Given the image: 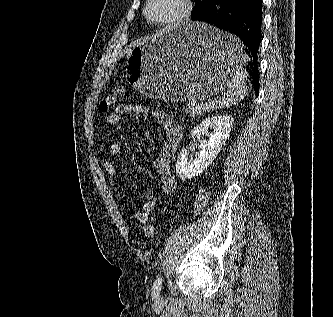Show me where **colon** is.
Wrapping results in <instances>:
<instances>
[{"label": "colon", "mask_w": 333, "mask_h": 317, "mask_svg": "<svg viewBox=\"0 0 333 317\" xmlns=\"http://www.w3.org/2000/svg\"><path fill=\"white\" fill-rule=\"evenodd\" d=\"M124 92L123 89L121 88H117V89H113L111 90L101 101L99 109L102 113H105L108 111V109L110 108V106L112 104H114L116 102V100L118 99V97ZM144 234L146 235V237L152 239L155 237L156 235V230L155 227L153 225H146L144 227Z\"/></svg>", "instance_id": "1"}]
</instances>
